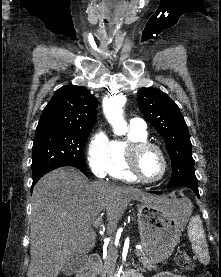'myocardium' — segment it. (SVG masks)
<instances>
[{"mask_svg": "<svg viewBox=\"0 0 221 277\" xmlns=\"http://www.w3.org/2000/svg\"><path fill=\"white\" fill-rule=\"evenodd\" d=\"M150 149L155 150L159 154V156L162 160V165H163L160 176L155 179L146 178L141 173V170L139 167V162H140L141 156L143 155L144 152H146L147 150H150ZM127 166H128L130 173L138 181H141L143 183L153 184V183H157V182L161 181L165 177V175L167 173V169H168V161H167V157H166V154L163 151V149L156 143H153V142H150L147 140V141L133 142L129 145L128 150H127Z\"/></svg>", "mask_w": 221, "mask_h": 277, "instance_id": "f54148a6", "label": "myocardium"}]
</instances>
